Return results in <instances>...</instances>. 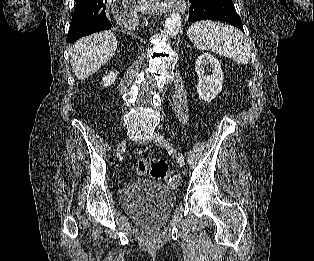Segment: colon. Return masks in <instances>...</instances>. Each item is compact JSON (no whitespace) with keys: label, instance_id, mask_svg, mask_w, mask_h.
Wrapping results in <instances>:
<instances>
[{"label":"colon","instance_id":"obj_1","mask_svg":"<svg viewBox=\"0 0 314 261\" xmlns=\"http://www.w3.org/2000/svg\"><path fill=\"white\" fill-rule=\"evenodd\" d=\"M134 176H149L156 179H167L170 175L169 166L166 161L152 158L139 159L132 168Z\"/></svg>","mask_w":314,"mask_h":261}]
</instances>
